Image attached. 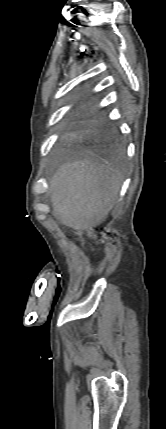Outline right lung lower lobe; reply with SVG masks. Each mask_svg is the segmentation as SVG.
<instances>
[{
	"instance_id": "obj_1",
	"label": "right lung lower lobe",
	"mask_w": 166,
	"mask_h": 429,
	"mask_svg": "<svg viewBox=\"0 0 166 429\" xmlns=\"http://www.w3.org/2000/svg\"><path fill=\"white\" fill-rule=\"evenodd\" d=\"M89 131L97 138H105L114 132L106 118L97 112L92 113Z\"/></svg>"
}]
</instances>
